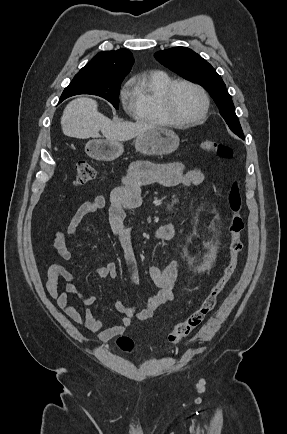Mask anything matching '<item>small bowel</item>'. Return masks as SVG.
Returning a JSON list of instances; mask_svg holds the SVG:
<instances>
[{"label":"small bowel","instance_id":"small-bowel-1","mask_svg":"<svg viewBox=\"0 0 287 434\" xmlns=\"http://www.w3.org/2000/svg\"><path fill=\"white\" fill-rule=\"evenodd\" d=\"M201 170L185 169L181 163L154 164L148 161H134L127 173L122 177L121 183L116 186L107 202L104 196L83 203L73 214L68 224L60 227L54 236V248L63 260H70L72 253L68 248V239L76 236L84 220L99 210H105L109 217L110 229L125 252L126 262L133 284H138L139 274L137 261L132 247L134 228L125 226L123 221L128 210L137 208L141 203V188L149 184H159L166 188L176 189V194L169 202L168 211L174 212L175 205L181 193L188 187L198 186L203 182ZM177 235V226L172 223L162 224L155 232L160 241H168ZM180 261L175 260L163 268L149 266V276L158 288L157 292L149 297L140 309L125 305L122 301H115L114 308L123 317L112 327H105L103 320L96 318L90 306L96 297L81 293L76 284V275L67 270L62 262H53L47 271L46 288L58 306L66 315L77 324L85 325L91 332L96 333L101 341H108L123 334L130 326L132 318L144 321L151 318L163 305L174 299V287L178 280ZM95 274L100 278L116 279L118 277L117 265L110 261L104 266L95 268ZM60 279L65 280L63 289L59 291ZM77 295L85 306L82 313L72 303L70 296Z\"/></svg>","mask_w":287,"mask_h":434}]
</instances>
